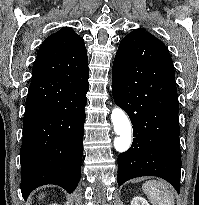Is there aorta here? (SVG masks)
<instances>
[{"label": "aorta", "mask_w": 199, "mask_h": 205, "mask_svg": "<svg viewBox=\"0 0 199 205\" xmlns=\"http://www.w3.org/2000/svg\"><path fill=\"white\" fill-rule=\"evenodd\" d=\"M111 121L117 134L114 140V147L118 152H125L131 145L132 132L130 121L124 111L118 107L112 110Z\"/></svg>", "instance_id": "aorta-1"}]
</instances>
